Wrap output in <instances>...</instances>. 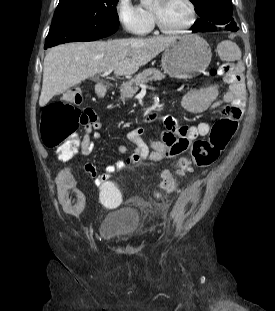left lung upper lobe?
Masks as SVG:
<instances>
[{
  "label": "left lung upper lobe",
  "instance_id": "1",
  "mask_svg": "<svg viewBox=\"0 0 275 311\" xmlns=\"http://www.w3.org/2000/svg\"><path fill=\"white\" fill-rule=\"evenodd\" d=\"M196 7V13L201 17L195 21V31H212L218 25H224L229 31L239 28L232 19V4L230 0H190Z\"/></svg>",
  "mask_w": 275,
  "mask_h": 311
}]
</instances>
